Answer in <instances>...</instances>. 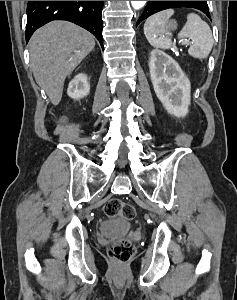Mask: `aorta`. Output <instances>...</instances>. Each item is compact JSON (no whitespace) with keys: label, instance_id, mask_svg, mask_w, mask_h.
<instances>
[{"label":"aorta","instance_id":"762f6f07","mask_svg":"<svg viewBox=\"0 0 237 300\" xmlns=\"http://www.w3.org/2000/svg\"><path fill=\"white\" fill-rule=\"evenodd\" d=\"M146 3L147 1H131L133 9H142Z\"/></svg>","mask_w":237,"mask_h":300}]
</instances>
